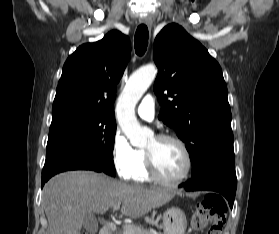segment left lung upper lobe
I'll return each mask as SVG.
<instances>
[{"instance_id":"obj_1","label":"left lung upper lobe","mask_w":279,"mask_h":234,"mask_svg":"<svg viewBox=\"0 0 279 234\" xmlns=\"http://www.w3.org/2000/svg\"><path fill=\"white\" fill-rule=\"evenodd\" d=\"M154 61L159 119L185 143L193 177L217 164L235 163L227 86L218 62L174 23L157 35Z\"/></svg>"}]
</instances>
